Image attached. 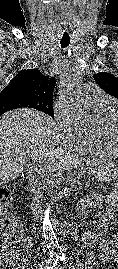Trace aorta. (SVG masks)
Masks as SVG:
<instances>
[{
    "label": "aorta",
    "mask_w": 118,
    "mask_h": 269,
    "mask_svg": "<svg viewBox=\"0 0 118 269\" xmlns=\"http://www.w3.org/2000/svg\"><path fill=\"white\" fill-rule=\"evenodd\" d=\"M82 78L78 72L66 73L60 81V99L65 110L74 118L76 123L84 129H92L94 121L91 114L81 105ZM69 188L59 192L57 199L68 197ZM43 237L47 248L51 252H59L60 246L51 223V208H47L42 221Z\"/></svg>",
    "instance_id": "1"
}]
</instances>
